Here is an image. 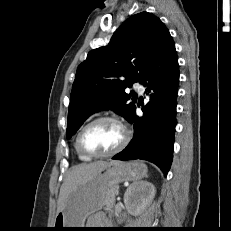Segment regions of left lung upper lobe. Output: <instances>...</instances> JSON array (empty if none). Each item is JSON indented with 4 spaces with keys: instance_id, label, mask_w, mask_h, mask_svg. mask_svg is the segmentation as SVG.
Returning <instances> with one entry per match:
<instances>
[{
    "instance_id": "1",
    "label": "left lung upper lobe",
    "mask_w": 231,
    "mask_h": 231,
    "mask_svg": "<svg viewBox=\"0 0 231 231\" xmlns=\"http://www.w3.org/2000/svg\"><path fill=\"white\" fill-rule=\"evenodd\" d=\"M169 30L155 15L141 12L117 29L109 44L90 51L77 68L71 91L67 139L91 114L111 109L130 119L135 96L124 90L141 82L161 49Z\"/></svg>"
}]
</instances>
